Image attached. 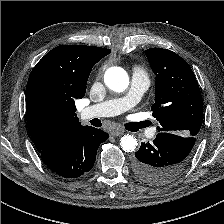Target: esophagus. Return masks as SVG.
<instances>
[{
    "label": "esophagus",
    "mask_w": 224,
    "mask_h": 224,
    "mask_svg": "<svg viewBox=\"0 0 224 224\" xmlns=\"http://www.w3.org/2000/svg\"><path fill=\"white\" fill-rule=\"evenodd\" d=\"M112 136H114V137H117V136H120V135H123L124 134V131L123 130H113V131H111V133H110Z\"/></svg>",
    "instance_id": "esophagus-1"
}]
</instances>
